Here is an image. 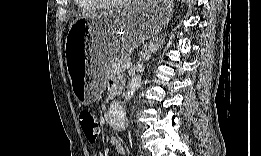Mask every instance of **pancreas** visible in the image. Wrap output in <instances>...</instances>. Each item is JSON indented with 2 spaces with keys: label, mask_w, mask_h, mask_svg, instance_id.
<instances>
[{
  "label": "pancreas",
  "mask_w": 261,
  "mask_h": 156,
  "mask_svg": "<svg viewBox=\"0 0 261 156\" xmlns=\"http://www.w3.org/2000/svg\"><path fill=\"white\" fill-rule=\"evenodd\" d=\"M130 60V57L126 53H122L119 55H115L109 63L105 66V73L107 76L120 73L124 71L125 69L122 67L123 64Z\"/></svg>",
  "instance_id": "cf45deb5"
}]
</instances>
